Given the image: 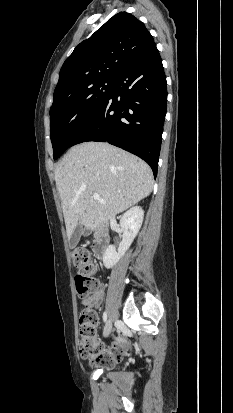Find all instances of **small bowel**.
Returning <instances> with one entry per match:
<instances>
[{
	"instance_id": "obj_1",
	"label": "small bowel",
	"mask_w": 233,
	"mask_h": 413,
	"mask_svg": "<svg viewBox=\"0 0 233 413\" xmlns=\"http://www.w3.org/2000/svg\"><path fill=\"white\" fill-rule=\"evenodd\" d=\"M103 298H104V285L98 284L97 289L94 291V293L91 296L83 298L82 304L86 307L87 306L98 307L101 304ZM123 348H124V341L121 338L116 337L110 348H105L103 346H100V355L110 356V357H116L117 355L122 356Z\"/></svg>"
}]
</instances>
